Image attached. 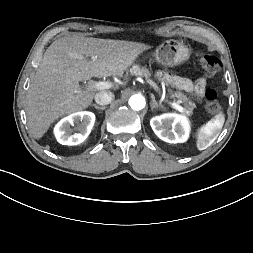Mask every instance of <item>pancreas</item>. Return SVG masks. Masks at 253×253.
Listing matches in <instances>:
<instances>
[{"mask_svg": "<svg viewBox=\"0 0 253 253\" xmlns=\"http://www.w3.org/2000/svg\"><path fill=\"white\" fill-rule=\"evenodd\" d=\"M129 72H130V75L146 77V78L151 75V72L147 69V67H141L139 65H133L132 68H130ZM159 75L161 76L160 80L168 86L172 77L164 71L159 72ZM172 87H174V85H172ZM169 92H170V98L174 99L178 103H183L186 108L185 114L190 115L193 109L196 107L195 104L191 100H189L184 93L180 91L169 90Z\"/></svg>", "mask_w": 253, "mask_h": 253, "instance_id": "obj_1", "label": "pancreas"}]
</instances>
